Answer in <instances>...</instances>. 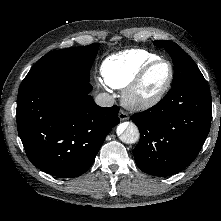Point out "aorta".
<instances>
[{"instance_id":"obj_1","label":"aorta","mask_w":221,"mask_h":221,"mask_svg":"<svg viewBox=\"0 0 221 221\" xmlns=\"http://www.w3.org/2000/svg\"><path fill=\"white\" fill-rule=\"evenodd\" d=\"M117 135L126 144H134L140 138L138 127L132 122L121 123L117 127Z\"/></svg>"}]
</instances>
